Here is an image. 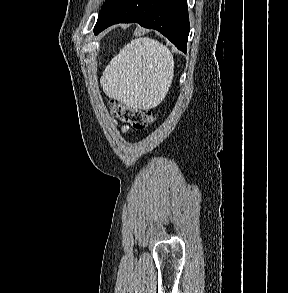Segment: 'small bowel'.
Masks as SVG:
<instances>
[{
  "label": "small bowel",
  "mask_w": 288,
  "mask_h": 293,
  "mask_svg": "<svg viewBox=\"0 0 288 293\" xmlns=\"http://www.w3.org/2000/svg\"><path fill=\"white\" fill-rule=\"evenodd\" d=\"M128 130H129V127H128V126H124V127H123V131H124V132H127Z\"/></svg>",
  "instance_id": "c3829d8e"
}]
</instances>
